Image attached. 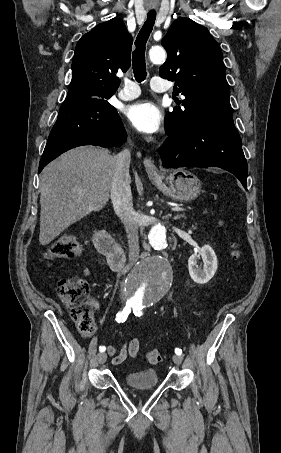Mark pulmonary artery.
Wrapping results in <instances>:
<instances>
[{
    "label": "pulmonary artery",
    "mask_w": 281,
    "mask_h": 453,
    "mask_svg": "<svg viewBox=\"0 0 281 453\" xmlns=\"http://www.w3.org/2000/svg\"><path fill=\"white\" fill-rule=\"evenodd\" d=\"M155 80H161L160 77L158 76H155L152 78L151 80V86L154 90L156 91H166L168 90L169 88H162V87H154L153 85V81ZM140 94V90H139V87L132 81H127L125 83V86L123 89H121L118 93L120 99L122 100H131V99H134L136 98L137 96H139Z\"/></svg>",
    "instance_id": "obj_1"
}]
</instances>
